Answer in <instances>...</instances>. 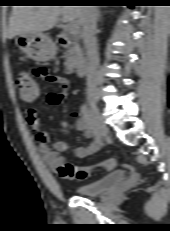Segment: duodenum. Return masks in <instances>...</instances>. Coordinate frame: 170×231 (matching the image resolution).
<instances>
[{"label":"duodenum","mask_w":170,"mask_h":231,"mask_svg":"<svg viewBox=\"0 0 170 231\" xmlns=\"http://www.w3.org/2000/svg\"><path fill=\"white\" fill-rule=\"evenodd\" d=\"M58 40L60 42L61 45H66L67 41L65 40V38L63 36H59ZM75 71L78 75L80 76H84L87 75L89 72V63L85 58H79L76 62H75Z\"/></svg>","instance_id":"obj_1"}]
</instances>
